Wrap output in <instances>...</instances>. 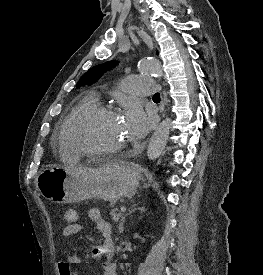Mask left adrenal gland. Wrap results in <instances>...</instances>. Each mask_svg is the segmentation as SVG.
<instances>
[{
	"label": "left adrenal gland",
	"instance_id": "a2214340",
	"mask_svg": "<svg viewBox=\"0 0 263 275\" xmlns=\"http://www.w3.org/2000/svg\"><path fill=\"white\" fill-rule=\"evenodd\" d=\"M134 206H136V205H134ZM140 210L141 212H143V211H145V207L144 206H142V207H140V208H134L132 211H130L129 212V214H131L132 212H134L135 210ZM127 216V214L122 218V220H121V223H120V226H119V229L121 230V231H123V224H124V222H125V217Z\"/></svg>",
	"mask_w": 263,
	"mask_h": 275
}]
</instances>
